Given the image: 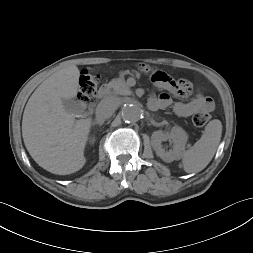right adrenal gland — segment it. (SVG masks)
Returning <instances> with one entry per match:
<instances>
[{
  "label": "right adrenal gland",
  "instance_id": "1",
  "mask_svg": "<svg viewBox=\"0 0 253 253\" xmlns=\"http://www.w3.org/2000/svg\"><path fill=\"white\" fill-rule=\"evenodd\" d=\"M104 124V121H95L93 125H99L102 126Z\"/></svg>",
  "mask_w": 253,
  "mask_h": 253
}]
</instances>
